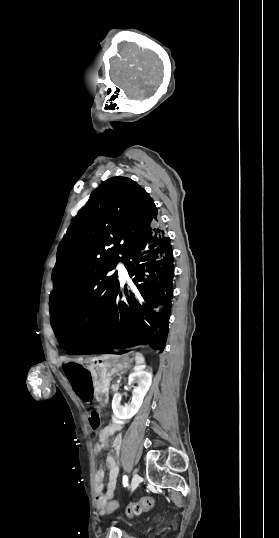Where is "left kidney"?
<instances>
[{
  "label": "left kidney",
  "instance_id": "left-kidney-1",
  "mask_svg": "<svg viewBox=\"0 0 279 538\" xmlns=\"http://www.w3.org/2000/svg\"><path fill=\"white\" fill-rule=\"evenodd\" d=\"M128 382L129 384H138L137 388H134L132 392L130 404L121 406V394H114L112 400V410L120 420H130L137 414L144 396H146L152 384V374L149 370H144V368H135L133 374H130Z\"/></svg>",
  "mask_w": 279,
  "mask_h": 538
}]
</instances>
